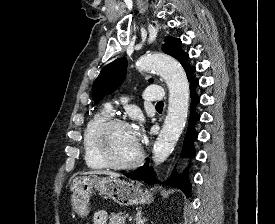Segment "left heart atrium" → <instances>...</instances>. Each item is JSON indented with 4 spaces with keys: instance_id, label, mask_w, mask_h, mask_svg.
Wrapping results in <instances>:
<instances>
[{
    "instance_id": "left-heart-atrium-1",
    "label": "left heart atrium",
    "mask_w": 275,
    "mask_h": 224,
    "mask_svg": "<svg viewBox=\"0 0 275 224\" xmlns=\"http://www.w3.org/2000/svg\"><path fill=\"white\" fill-rule=\"evenodd\" d=\"M132 129V133L135 137V139L137 140L138 143H140L141 141V133L138 127H133Z\"/></svg>"
}]
</instances>
